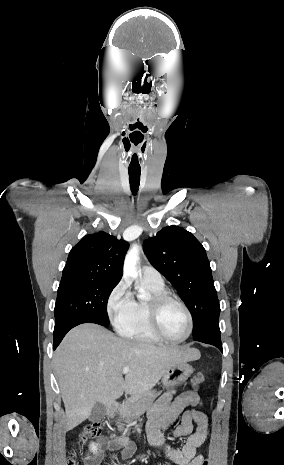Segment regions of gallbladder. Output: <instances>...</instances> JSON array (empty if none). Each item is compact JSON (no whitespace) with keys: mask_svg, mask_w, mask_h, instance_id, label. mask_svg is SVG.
Instances as JSON below:
<instances>
[{"mask_svg":"<svg viewBox=\"0 0 284 465\" xmlns=\"http://www.w3.org/2000/svg\"><path fill=\"white\" fill-rule=\"evenodd\" d=\"M106 411V405H103V403H96L91 411L89 421H92V423H100V421L104 419Z\"/></svg>","mask_w":284,"mask_h":465,"instance_id":"gallbladder-1","label":"gallbladder"}]
</instances>
